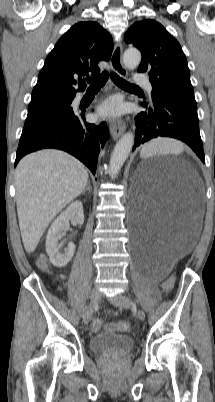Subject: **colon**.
<instances>
[{
    "label": "colon",
    "mask_w": 215,
    "mask_h": 402,
    "mask_svg": "<svg viewBox=\"0 0 215 402\" xmlns=\"http://www.w3.org/2000/svg\"><path fill=\"white\" fill-rule=\"evenodd\" d=\"M41 266H44V262H40ZM173 287V280L169 279L163 283V290H161L160 295L163 298H168L171 295L170 290ZM103 321L101 319H94L92 322V330L98 332L103 328ZM111 329L120 332H129L131 330V325L127 322H119L111 326Z\"/></svg>",
    "instance_id": "obj_1"
}]
</instances>
